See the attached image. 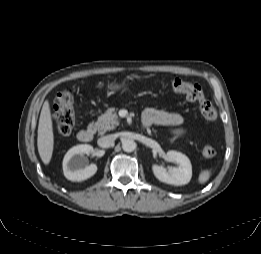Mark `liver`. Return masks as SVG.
<instances>
[{
    "label": "liver",
    "mask_w": 261,
    "mask_h": 254,
    "mask_svg": "<svg viewBox=\"0 0 261 254\" xmlns=\"http://www.w3.org/2000/svg\"><path fill=\"white\" fill-rule=\"evenodd\" d=\"M37 147L41 160L49 164L54 147L53 123L49 101H45L40 113L38 125Z\"/></svg>",
    "instance_id": "obj_1"
}]
</instances>
